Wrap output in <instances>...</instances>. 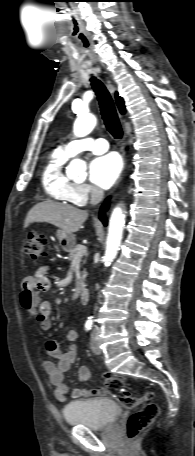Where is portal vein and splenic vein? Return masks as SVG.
Listing matches in <instances>:
<instances>
[{
	"label": "portal vein and splenic vein",
	"mask_w": 195,
	"mask_h": 456,
	"mask_svg": "<svg viewBox=\"0 0 195 456\" xmlns=\"http://www.w3.org/2000/svg\"><path fill=\"white\" fill-rule=\"evenodd\" d=\"M78 250H79V253H85L87 251V247L86 246H80L78 248Z\"/></svg>",
	"instance_id": "1"
}]
</instances>
